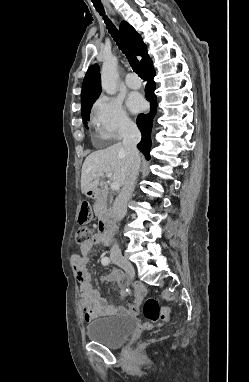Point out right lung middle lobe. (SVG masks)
Here are the masks:
<instances>
[{
	"instance_id": "right-lung-middle-lobe-1",
	"label": "right lung middle lobe",
	"mask_w": 249,
	"mask_h": 382,
	"mask_svg": "<svg viewBox=\"0 0 249 382\" xmlns=\"http://www.w3.org/2000/svg\"><path fill=\"white\" fill-rule=\"evenodd\" d=\"M91 107H92V104L85 111L81 112L82 113L83 122H84L86 127H87V120H89V117H90Z\"/></svg>"
}]
</instances>
